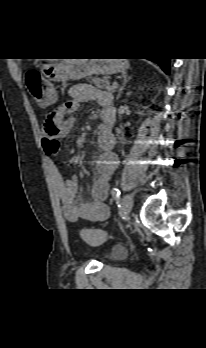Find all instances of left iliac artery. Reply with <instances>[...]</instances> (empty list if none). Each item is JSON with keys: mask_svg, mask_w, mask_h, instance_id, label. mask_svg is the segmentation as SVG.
<instances>
[{"mask_svg": "<svg viewBox=\"0 0 206 348\" xmlns=\"http://www.w3.org/2000/svg\"><path fill=\"white\" fill-rule=\"evenodd\" d=\"M112 196L113 195H120L121 194V192H120V190L118 189V188H113V190H112Z\"/></svg>", "mask_w": 206, "mask_h": 348, "instance_id": "left-iliac-artery-1", "label": "left iliac artery"}]
</instances>
